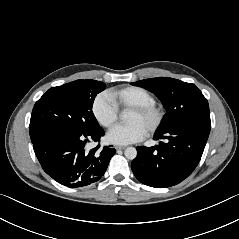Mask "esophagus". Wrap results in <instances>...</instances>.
Here are the masks:
<instances>
[{"instance_id": "esophagus-1", "label": "esophagus", "mask_w": 239, "mask_h": 239, "mask_svg": "<svg viewBox=\"0 0 239 239\" xmlns=\"http://www.w3.org/2000/svg\"><path fill=\"white\" fill-rule=\"evenodd\" d=\"M126 147L124 146H115V149L116 150H124Z\"/></svg>"}]
</instances>
